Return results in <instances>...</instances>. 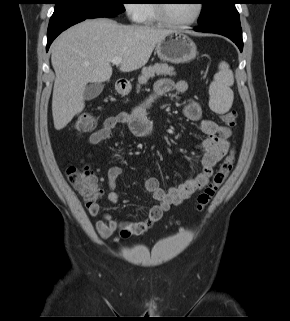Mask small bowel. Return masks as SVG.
Returning a JSON list of instances; mask_svg holds the SVG:
<instances>
[{
  "mask_svg": "<svg viewBox=\"0 0 290 321\" xmlns=\"http://www.w3.org/2000/svg\"><path fill=\"white\" fill-rule=\"evenodd\" d=\"M188 89V84L184 80L174 82L170 79H160L155 86L154 92L141 104L136 106L131 112L120 113L115 116L107 117L101 127L93 132L88 139L90 145H97L111 137L113 129L118 124H126L133 135L141 138L150 137L154 132V126L148 119L146 107L160 96L172 91L184 93ZM184 115L187 119L197 122L200 131L205 138L200 142L199 149L202 153L201 170L193 177L184 182L164 190L159 181L150 177L145 181V188L157 201L148 215L135 222H130L134 233L139 235L145 233L150 226L159 221L172 205H180L190 198L195 192L206 185L213 173V167L226 154L229 146L231 130L204 118L200 104L196 100H189L184 106ZM91 157V155H89ZM122 174L120 166H113L109 169L107 179L109 192L107 199L111 203H118L120 195L116 190V181ZM88 213L92 217L100 214V206L97 202L86 206ZM123 224L109 214H103L102 219L95 220V227L102 238H108L112 233Z\"/></svg>",
  "mask_w": 290,
  "mask_h": 321,
  "instance_id": "1",
  "label": "small bowel"
}]
</instances>
